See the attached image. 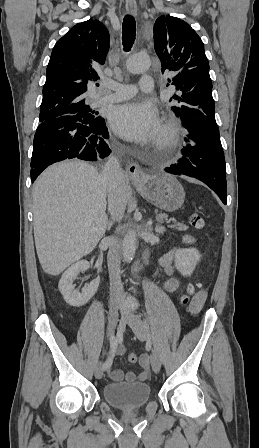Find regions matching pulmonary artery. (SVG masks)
I'll return each mask as SVG.
<instances>
[{
  "instance_id": "1",
  "label": "pulmonary artery",
  "mask_w": 259,
  "mask_h": 448,
  "mask_svg": "<svg viewBox=\"0 0 259 448\" xmlns=\"http://www.w3.org/2000/svg\"><path fill=\"white\" fill-rule=\"evenodd\" d=\"M138 56V54H130L126 61V66L128 70L132 73H143L145 69L138 64L135 63V58ZM145 79H151L150 76H143ZM102 88H108L110 90L115 91V93H111L110 95L101 96L99 98L100 102H108V103H114L119 102L125 99H128L132 97L136 90L131 85H124L121 83H118L116 81L107 80L104 81L101 84V87L98 88V91H100Z\"/></svg>"
}]
</instances>
